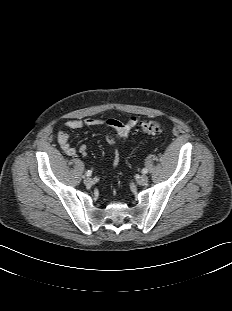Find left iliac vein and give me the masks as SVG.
I'll use <instances>...</instances> for the list:
<instances>
[{
	"label": "left iliac vein",
	"instance_id": "obj_1",
	"mask_svg": "<svg viewBox=\"0 0 232 311\" xmlns=\"http://www.w3.org/2000/svg\"><path fill=\"white\" fill-rule=\"evenodd\" d=\"M148 177L146 175H142L137 179L138 184L145 185L148 182Z\"/></svg>",
	"mask_w": 232,
	"mask_h": 311
}]
</instances>
